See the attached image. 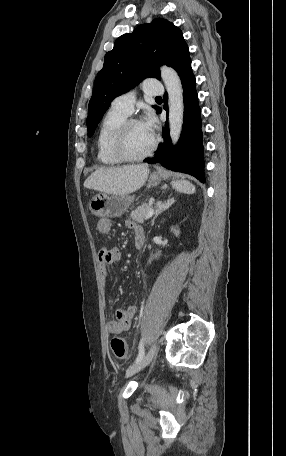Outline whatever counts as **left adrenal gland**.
I'll return each instance as SVG.
<instances>
[{
	"mask_svg": "<svg viewBox=\"0 0 286 456\" xmlns=\"http://www.w3.org/2000/svg\"><path fill=\"white\" fill-rule=\"evenodd\" d=\"M174 202H175V200L173 198H171V199L169 198L165 202L158 201L156 203V211H155V215L151 221V226L154 225L155 219L158 217V215L161 214L163 211L169 209L174 204Z\"/></svg>",
	"mask_w": 286,
	"mask_h": 456,
	"instance_id": "obj_1",
	"label": "left adrenal gland"
}]
</instances>
